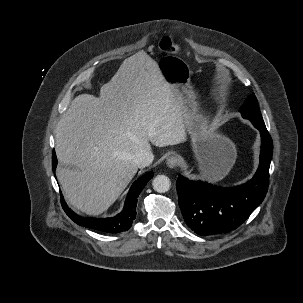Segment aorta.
Instances as JSON below:
<instances>
[{
  "label": "aorta",
  "instance_id": "1",
  "mask_svg": "<svg viewBox=\"0 0 303 303\" xmlns=\"http://www.w3.org/2000/svg\"><path fill=\"white\" fill-rule=\"evenodd\" d=\"M156 192L165 193L170 189V179L165 175H157L152 182Z\"/></svg>",
  "mask_w": 303,
  "mask_h": 303
}]
</instances>
